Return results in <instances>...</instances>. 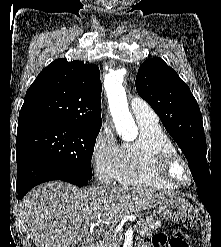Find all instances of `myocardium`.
<instances>
[{
  "instance_id": "f54148a6",
  "label": "myocardium",
  "mask_w": 221,
  "mask_h": 247,
  "mask_svg": "<svg viewBox=\"0 0 221 247\" xmlns=\"http://www.w3.org/2000/svg\"><path fill=\"white\" fill-rule=\"evenodd\" d=\"M177 166L182 168L184 179L177 176L175 172ZM154 169L161 178L175 185L187 186L193 179L188 162L177 151H159L154 158Z\"/></svg>"
}]
</instances>
